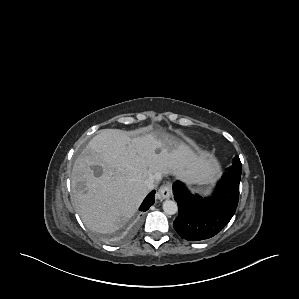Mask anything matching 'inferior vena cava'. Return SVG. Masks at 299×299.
<instances>
[{"label":"inferior vena cava","instance_id":"inferior-vena-cava-1","mask_svg":"<svg viewBox=\"0 0 299 299\" xmlns=\"http://www.w3.org/2000/svg\"><path fill=\"white\" fill-rule=\"evenodd\" d=\"M160 179H161V176H159V175H151L149 178H147L144 181L145 188L148 191L154 189V187H156V185L159 183Z\"/></svg>","mask_w":299,"mask_h":299}]
</instances>
